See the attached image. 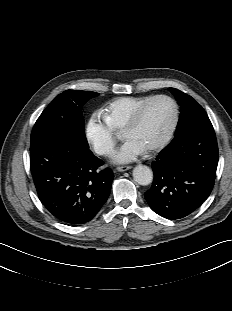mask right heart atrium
Here are the masks:
<instances>
[{"label": "right heart atrium", "mask_w": 232, "mask_h": 311, "mask_svg": "<svg viewBox=\"0 0 232 311\" xmlns=\"http://www.w3.org/2000/svg\"><path fill=\"white\" fill-rule=\"evenodd\" d=\"M85 138L94 151L102 156H109L113 153L117 136L107 124L105 119L97 113L89 117L85 125Z\"/></svg>", "instance_id": "right-heart-atrium-1"}]
</instances>
